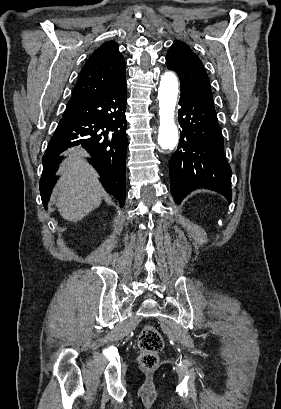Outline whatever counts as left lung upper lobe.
I'll use <instances>...</instances> for the list:
<instances>
[{
    "label": "left lung upper lobe",
    "instance_id": "obj_1",
    "mask_svg": "<svg viewBox=\"0 0 281 409\" xmlns=\"http://www.w3.org/2000/svg\"><path fill=\"white\" fill-rule=\"evenodd\" d=\"M166 65L179 75L182 90L213 105V95L204 66L187 44L175 41L167 52Z\"/></svg>",
    "mask_w": 281,
    "mask_h": 409
}]
</instances>
